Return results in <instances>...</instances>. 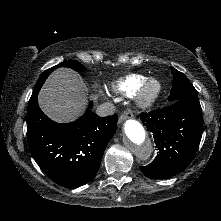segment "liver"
Returning <instances> with one entry per match:
<instances>
[{"instance_id":"liver-1","label":"liver","mask_w":221,"mask_h":221,"mask_svg":"<svg viewBox=\"0 0 221 221\" xmlns=\"http://www.w3.org/2000/svg\"><path fill=\"white\" fill-rule=\"evenodd\" d=\"M38 102L42 111L52 120L72 122L85 111L88 90L77 73L68 68H58L44 83Z\"/></svg>"}]
</instances>
